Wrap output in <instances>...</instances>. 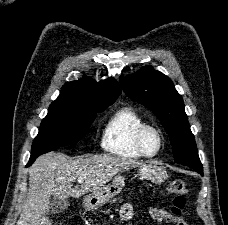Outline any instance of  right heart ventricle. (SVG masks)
<instances>
[{"label":"right heart ventricle","instance_id":"e07e8e85","mask_svg":"<svg viewBox=\"0 0 228 225\" xmlns=\"http://www.w3.org/2000/svg\"><path fill=\"white\" fill-rule=\"evenodd\" d=\"M147 124L134 108L122 107L105 123L101 135V147L115 156L130 159L144 158L136 140L140 129Z\"/></svg>","mask_w":228,"mask_h":225}]
</instances>
